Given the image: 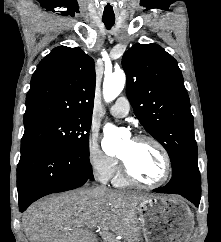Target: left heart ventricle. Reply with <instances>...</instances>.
Here are the masks:
<instances>
[{"label":"left heart ventricle","instance_id":"1","mask_svg":"<svg viewBox=\"0 0 221 242\" xmlns=\"http://www.w3.org/2000/svg\"><path fill=\"white\" fill-rule=\"evenodd\" d=\"M119 156L125 159L131 171L144 182H156L163 175V157L151 142L128 139L123 143Z\"/></svg>","mask_w":221,"mask_h":242}]
</instances>
